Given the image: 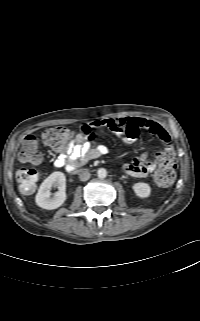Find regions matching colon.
Wrapping results in <instances>:
<instances>
[{
  "mask_svg": "<svg viewBox=\"0 0 200 321\" xmlns=\"http://www.w3.org/2000/svg\"><path fill=\"white\" fill-rule=\"evenodd\" d=\"M73 132L64 126H56L47 129L43 133L44 142L57 150H63L67 146V142L72 137ZM87 138L93 140L96 136L89 133ZM19 157L21 161L37 164L41 160L39 152V139L35 135L25 137ZM158 168L154 173V181L159 187L170 186L176 178V158L173 151H166L157 157ZM40 171L36 167H25L18 170L16 174L20 189L24 193H31L39 179Z\"/></svg>",
  "mask_w": 200,
  "mask_h": 321,
  "instance_id": "obj_1",
  "label": "colon"
}]
</instances>
